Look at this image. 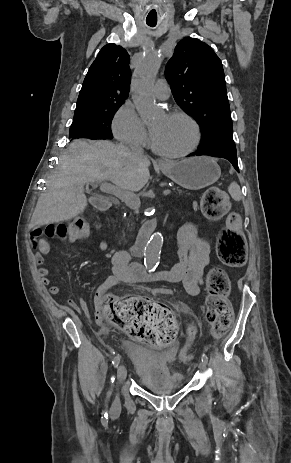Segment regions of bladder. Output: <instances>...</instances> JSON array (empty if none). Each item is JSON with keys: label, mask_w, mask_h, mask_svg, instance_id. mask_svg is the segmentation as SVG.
I'll return each mask as SVG.
<instances>
[{"label": "bladder", "mask_w": 291, "mask_h": 463, "mask_svg": "<svg viewBox=\"0 0 291 463\" xmlns=\"http://www.w3.org/2000/svg\"><path fill=\"white\" fill-rule=\"evenodd\" d=\"M124 347L136 366L139 382L148 389L181 388L185 378L168 370L174 356L162 357L137 340L126 339Z\"/></svg>", "instance_id": "bladder-1"}]
</instances>
